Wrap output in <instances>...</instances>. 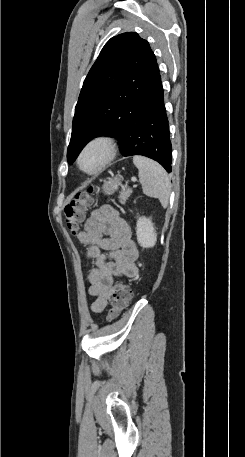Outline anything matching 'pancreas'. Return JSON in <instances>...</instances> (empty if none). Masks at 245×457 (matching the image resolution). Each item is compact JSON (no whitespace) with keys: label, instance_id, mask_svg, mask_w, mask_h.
<instances>
[{"label":"pancreas","instance_id":"cf45deb5","mask_svg":"<svg viewBox=\"0 0 245 457\" xmlns=\"http://www.w3.org/2000/svg\"><path fill=\"white\" fill-rule=\"evenodd\" d=\"M132 192V188H129V186H122V190L119 194V200L121 202V204H124V202H126L128 196H130Z\"/></svg>","mask_w":245,"mask_h":457}]
</instances>
